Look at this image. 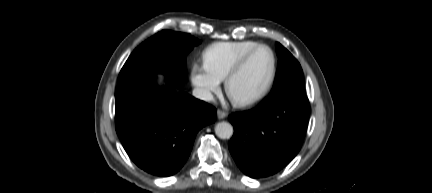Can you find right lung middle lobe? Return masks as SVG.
Masks as SVG:
<instances>
[{
  "mask_svg": "<svg viewBox=\"0 0 432 193\" xmlns=\"http://www.w3.org/2000/svg\"><path fill=\"white\" fill-rule=\"evenodd\" d=\"M199 43L190 34L163 30L132 52L120 71L118 83L143 74L163 73L182 85L186 80V55Z\"/></svg>",
  "mask_w": 432,
  "mask_h": 193,
  "instance_id": "obj_1",
  "label": "right lung middle lobe"
}]
</instances>
